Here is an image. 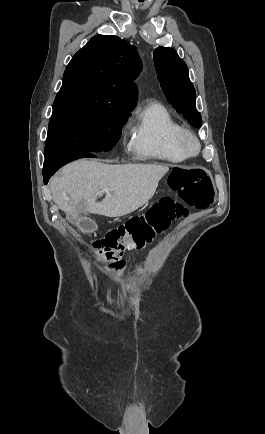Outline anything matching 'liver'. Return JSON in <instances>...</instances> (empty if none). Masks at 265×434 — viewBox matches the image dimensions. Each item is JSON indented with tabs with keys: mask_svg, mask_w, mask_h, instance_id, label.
<instances>
[{
	"mask_svg": "<svg viewBox=\"0 0 265 434\" xmlns=\"http://www.w3.org/2000/svg\"><path fill=\"white\" fill-rule=\"evenodd\" d=\"M167 166L156 164H100L98 160H77L53 176V202L75 224L81 214L119 218L135 212L151 200ZM103 188H109L102 202H96Z\"/></svg>",
	"mask_w": 265,
	"mask_h": 434,
	"instance_id": "obj_1",
	"label": "liver"
}]
</instances>
